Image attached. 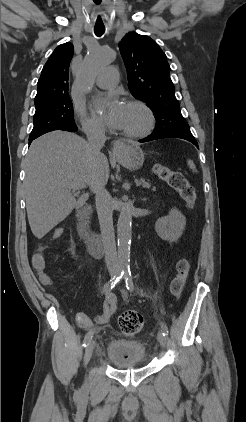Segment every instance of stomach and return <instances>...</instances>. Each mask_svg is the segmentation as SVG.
<instances>
[{
  "label": "stomach",
  "instance_id": "obj_1",
  "mask_svg": "<svg viewBox=\"0 0 246 422\" xmlns=\"http://www.w3.org/2000/svg\"><path fill=\"white\" fill-rule=\"evenodd\" d=\"M118 161L130 170H138L145 159L143 150L133 142H124L116 152Z\"/></svg>",
  "mask_w": 246,
  "mask_h": 422
}]
</instances>
